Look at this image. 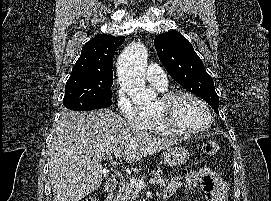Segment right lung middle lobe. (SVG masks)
Instances as JSON below:
<instances>
[{"label":"right lung middle lobe","instance_id":"1","mask_svg":"<svg viewBox=\"0 0 271 201\" xmlns=\"http://www.w3.org/2000/svg\"><path fill=\"white\" fill-rule=\"evenodd\" d=\"M113 74H71L65 87L63 105L71 110L89 111L112 104Z\"/></svg>","mask_w":271,"mask_h":201}]
</instances>
